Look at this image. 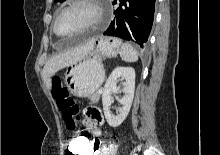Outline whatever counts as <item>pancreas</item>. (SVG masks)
Wrapping results in <instances>:
<instances>
[{
  "instance_id": "1",
  "label": "pancreas",
  "mask_w": 220,
  "mask_h": 155,
  "mask_svg": "<svg viewBox=\"0 0 220 155\" xmlns=\"http://www.w3.org/2000/svg\"><path fill=\"white\" fill-rule=\"evenodd\" d=\"M99 99H100V94L98 92H96V94L90 97V100L93 104L98 103Z\"/></svg>"
}]
</instances>
